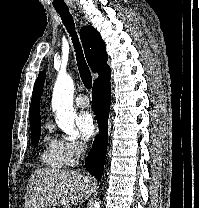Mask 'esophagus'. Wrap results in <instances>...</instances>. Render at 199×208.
<instances>
[{
	"mask_svg": "<svg viewBox=\"0 0 199 208\" xmlns=\"http://www.w3.org/2000/svg\"><path fill=\"white\" fill-rule=\"evenodd\" d=\"M98 132H99V129H98V127L96 128V134H98Z\"/></svg>",
	"mask_w": 199,
	"mask_h": 208,
	"instance_id": "obj_1",
	"label": "esophagus"
}]
</instances>
